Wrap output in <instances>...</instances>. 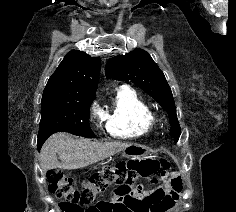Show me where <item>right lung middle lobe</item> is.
<instances>
[{
	"mask_svg": "<svg viewBox=\"0 0 236 212\" xmlns=\"http://www.w3.org/2000/svg\"><path fill=\"white\" fill-rule=\"evenodd\" d=\"M92 101V97L77 100H42L38 150L51 134L58 131H65L86 138H95L88 122Z\"/></svg>",
	"mask_w": 236,
	"mask_h": 212,
	"instance_id": "right-lung-middle-lobe-1",
	"label": "right lung middle lobe"
}]
</instances>
